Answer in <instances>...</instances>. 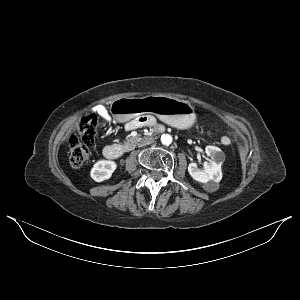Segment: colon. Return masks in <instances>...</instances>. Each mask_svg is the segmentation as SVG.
Listing matches in <instances>:
<instances>
[{
	"label": "colon",
	"mask_w": 300,
	"mask_h": 300,
	"mask_svg": "<svg viewBox=\"0 0 300 300\" xmlns=\"http://www.w3.org/2000/svg\"><path fill=\"white\" fill-rule=\"evenodd\" d=\"M78 135H72L68 141L69 161L72 167L79 168L90 157V148L95 144L98 134V120L88 116L77 125Z\"/></svg>",
	"instance_id": "obj_1"
}]
</instances>
